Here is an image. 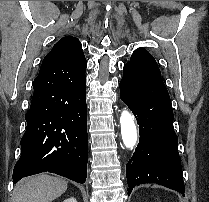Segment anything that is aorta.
I'll return each mask as SVG.
<instances>
[{"label": "aorta", "mask_w": 209, "mask_h": 202, "mask_svg": "<svg viewBox=\"0 0 209 202\" xmlns=\"http://www.w3.org/2000/svg\"><path fill=\"white\" fill-rule=\"evenodd\" d=\"M121 136L124 145L131 149L137 142V128L131 113L124 110L120 116Z\"/></svg>", "instance_id": "aorta-1"}]
</instances>
